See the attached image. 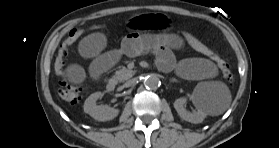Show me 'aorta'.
Segmentation results:
<instances>
[{"label": "aorta", "mask_w": 279, "mask_h": 148, "mask_svg": "<svg viewBox=\"0 0 279 148\" xmlns=\"http://www.w3.org/2000/svg\"><path fill=\"white\" fill-rule=\"evenodd\" d=\"M159 84H160V80L154 74H150V75L146 76L144 79V85L146 88L156 89L159 86Z\"/></svg>", "instance_id": "1"}]
</instances>
